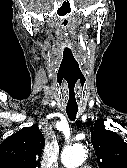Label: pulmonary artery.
I'll return each mask as SVG.
<instances>
[{
    "mask_svg": "<svg viewBox=\"0 0 127 168\" xmlns=\"http://www.w3.org/2000/svg\"><path fill=\"white\" fill-rule=\"evenodd\" d=\"M80 168H90V167L87 166V165H83V166H81Z\"/></svg>",
    "mask_w": 127,
    "mask_h": 168,
    "instance_id": "e3ab8cb5",
    "label": "pulmonary artery"
}]
</instances>
